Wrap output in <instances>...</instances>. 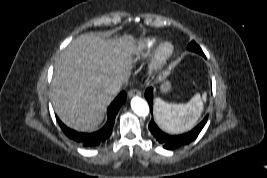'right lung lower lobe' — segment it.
Wrapping results in <instances>:
<instances>
[{"label": "right lung lower lobe", "mask_w": 267, "mask_h": 178, "mask_svg": "<svg viewBox=\"0 0 267 178\" xmlns=\"http://www.w3.org/2000/svg\"><path fill=\"white\" fill-rule=\"evenodd\" d=\"M125 101H126V92L122 91L109 106L107 110L108 118L105 125L100 130L94 133L77 132L75 130L66 127L59 119L58 123L63 132L67 135V137H69L73 141L85 147L98 146L111 135L115 123V117L120 107Z\"/></svg>", "instance_id": "98d812e1"}]
</instances>
